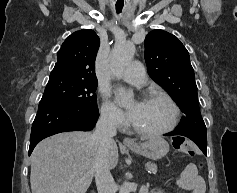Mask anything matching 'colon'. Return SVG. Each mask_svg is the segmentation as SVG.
Masks as SVG:
<instances>
[{
    "label": "colon",
    "mask_w": 237,
    "mask_h": 193,
    "mask_svg": "<svg viewBox=\"0 0 237 193\" xmlns=\"http://www.w3.org/2000/svg\"><path fill=\"white\" fill-rule=\"evenodd\" d=\"M173 147L178 152L192 156L195 153L194 144L184 137H175L172 140Z\"/></svg>",
    "instance_id": "colon-1"
}]
</instances>
